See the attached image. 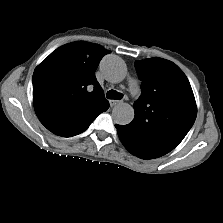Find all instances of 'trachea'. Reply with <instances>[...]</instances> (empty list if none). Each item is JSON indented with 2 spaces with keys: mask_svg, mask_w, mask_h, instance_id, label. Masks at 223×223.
I'll return each mask as SVG.
<instances>
[{
  "mask_svg": "<svg viewBox=\"0 0 223 223\" xmlns=\"http://www.w3.org/2000/svg\"><path fill=\"white\" fill-rule=\"evenodd\" d=\"M107 98L108 99H115V100H121L123 98V95L116 90H110L107 92Z\"/></svg>",
  "mask_w": 223,
  "mask_h": 223,
  "instance_id": "obj_1",
  "label": "trachea"
}]
</instances>
